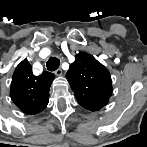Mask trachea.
<instances>
[{
	"mask_svg": "<svg viewBox=\"0 0 147 147\" xmlns=\"http://www.w3.org/2000/svg\"><path fill=\"white\" fill-rule=\"evenodd\" d=\"M60 65V60L57 57H50L46 63V67L49 71H55Z\"/></svg>",
	"mask_w": 147,
	"mask_h": 147,
	"instance_id": "3493384b",
	"label": "trachea"
}]
</instances>
